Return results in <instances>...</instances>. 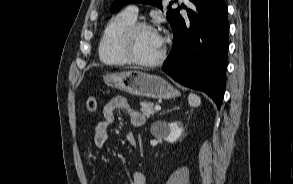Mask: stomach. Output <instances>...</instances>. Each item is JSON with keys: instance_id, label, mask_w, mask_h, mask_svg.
I'll use <instances>...</instances> for the list:
<instances>
[{"instance_id": "stomach-1", "label": "stomach", "mask_w": 293, "mask_h": 184, "mask_svg": "<svg viewBox=\"0 0 293 184\" xmlns=\"http://www.w3.org/2000/svg\"><path fill=\"white\" fill-rule=\"evenodd\" d=\"M103 81L107 86L135 96L169 99L179 95V92L163 78L140 71L106 74Z\"/></svg>"}]
</instances>
